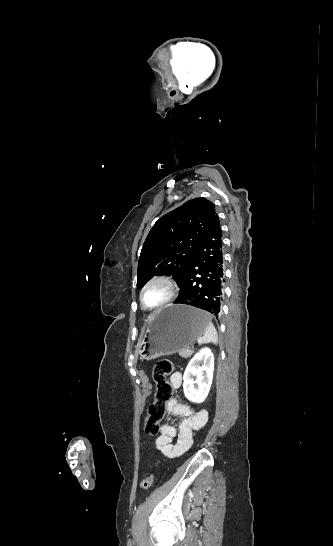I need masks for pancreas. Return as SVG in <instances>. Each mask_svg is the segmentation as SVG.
I'll return each instance as SVG.
<instances>
[{
	"instance_id": "obj_1",
	"label": "pancreas",
	"mask_w": 333,
	"mask_h": 546,
	"mask_svg": "<svg viewBox=\"0 0 333 546\" xmlns=\"http://www.w3.org/2000/svg\"><path fill=\"white\" fill-rule=\"evenodd\" d=\"M178 353L183 358H189L192 355V352H189V350L186 348L180 349Z\"/></svg>"
}]
</instances>
